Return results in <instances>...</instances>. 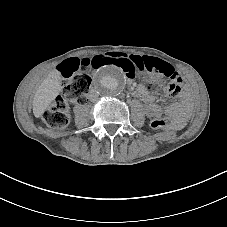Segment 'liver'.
<instances>
[{"label": "liver", "mask_w": 227, "mask_h": 227, "mask_svg": "<svg viewBox=\"0 0 227 227\" xmlns=\"http://www.w3.org/2000/svg\"><path fill=\"white\" fill-rule=\"evenodd\" d=\"M61 81V74L57 70H52L42 81L32 101L33 114L36 118L41 117L50 103L59 95Z\"/></svg>", "instance_id": "liver-1"}]
</instances>
